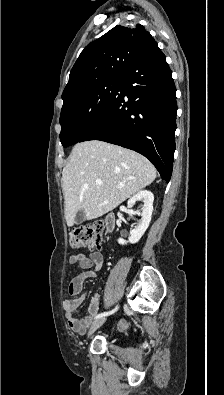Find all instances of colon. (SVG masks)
I'll return each instance as SVG.
<instances>
[{
    "label": "colon",
    "mask_w": 224,
    "mask_h": 395,
    "mask_svg": "<svg viewBox=\"0 0 224 395\" xmlns=\"http://www.w3.org/2000/svg\"><path fill=\"white\" fill-rule=\"evenodd\" d=\"M102 230L103 226L101 224L76 228L68 234L69 244L74 249L82 247L98 248L103 241Z\"/></svg>",
    "instance_id": "1"
}]
</instances>
